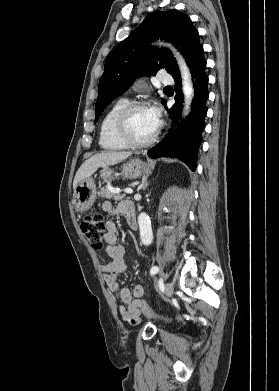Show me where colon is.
Returning a JSON list of instances; mask_svg holds the SVG:
<instances>
[{
    "label": "colon",
    "instance_id": "5ec220e1",
    "mask_svg": "<svg viewBox=\"0 0 279 391\" xmlns=\"http://www.w3.org/2000/svg\"><path fill=\"white\" fill-rule=\"evenodd\" d=\"M81 230L92 248L101 249L103 247L106 235V223L100 213L94 212L86 215L82 219ZM139 308L149 317L161 318L148 307L143 299L139 301Z\"/></svg>",
    "mask_w": 279,
    "mask_h": 391
}]
</instances>
